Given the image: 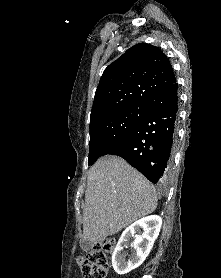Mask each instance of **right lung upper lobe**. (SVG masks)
Listing matches in <instances>:
<instances>
[{"instance_id": "obj_1", "label": "right lung upper lobe", "mask_w": 221, "mask_h": 278, "mask_svg": "<svg viewBox=\"0 0 221 278\" xmlns=\"http://www.w3.org/2000/svg\"><path fill=\"white\" fill-rule=\"evenodd\" d=\"M176 82L172 66L163 52L140 43L128 49L104 71L97 87L91 119L136 101Z\"/></svg>"}]
</instances>
